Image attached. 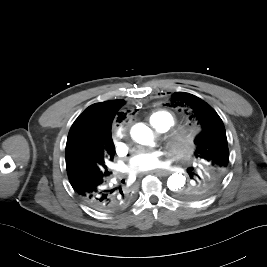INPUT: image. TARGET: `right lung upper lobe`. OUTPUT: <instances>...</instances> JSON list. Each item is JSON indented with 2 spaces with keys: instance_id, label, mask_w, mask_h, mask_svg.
I'll return each mask as SVG.
<instances>
[{
  "instance_id": "cb5924a9",
  "label": "right lung upper lobe",
  "mask_w": 267,
  "mask_h": 267,
  "mask_svg": "<svg viewBox=\"0 0 267 267\" xmlns=\"http://www.w3.org/2000/svg\"><path fill=\"white\" fill-rule=\"evenodd\" d=\"M124 100H110L89 106L73 123L67 138L66 147L78 145L79 137L86 134L95 137L96 141L111 135V125L115 116L123 118L118 112Z\"/></svg>"
}]
</instances>
